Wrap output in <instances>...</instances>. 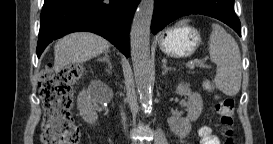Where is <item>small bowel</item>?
<instances>
[{
  "instance_id": "c3829d8e",
  "label": "small bowel",
  "mask_w": 273,
  "mask_h": 144,
  "mask_svg": "<svg viewBox=\"0 0 273 144\" xmlns=\"http://www.w3.org/2000/svg\"><path fill=\"white\" fill-rule=\"evenodd\" d=\"M200 137V144H219V138L213 133L212 129L208 126H202L198 130Z\"/></svg>"
}]
</instances>
